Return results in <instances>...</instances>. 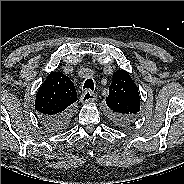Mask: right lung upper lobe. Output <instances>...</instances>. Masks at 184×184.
<instances>
[{
  "instance_id": "obj_1",
  "label": "right lung upper lobe",
  "mask_w": 184,
  "mask_h": 184,
  "mask_svg": "<svg viewBox=\"0 0 184 184\" xmlns=\"http://www.w3.org/2000/svg\"><path fill=\"white\" fill-rule=\"evenodd\" d=\"M77 100L74 83L62 72H51L39 88L35 110L41 117L62 114Z\"/></svg>"
}]
</instances>
